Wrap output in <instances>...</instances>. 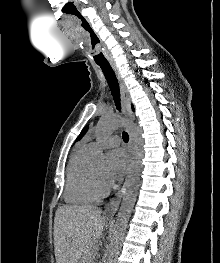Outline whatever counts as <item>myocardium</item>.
Returning a JSON list of instances; mask_svg holds the SVG:
<instances>
[{
	"instance_id": "f54148a6",
	"label": "myocardium",
	"mask_w": 220,
	"mask_h": 263,
	"mask_svg": "<svg viewBox=\"0 0 220 263\" xmlns=\"http://www.w3.org/2000/svg\"><path fill=\"white\" fill-rule=\"evenodd\" d=\"M90 186L97 197H104L110 192V185L98 177L93 167L90 172Z\"/></svg>"
}]
</instances>
